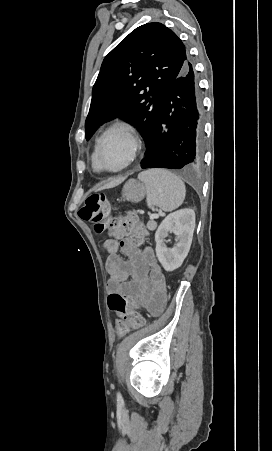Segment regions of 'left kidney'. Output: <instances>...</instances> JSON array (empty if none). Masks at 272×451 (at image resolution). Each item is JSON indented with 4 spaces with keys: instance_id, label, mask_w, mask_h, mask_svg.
Returning <instances> with one entry per match:
<instances>
[{
    "instance_id": "obj_1",
    "label": "left kidney",
    "mask_w": 272,
    "mask_h": 451,
    "mask_svg": "<svg viewBox=\"0 0 272 451\" xmlns=\"http://www.w3.org/2000/svg\"><path fill=\"white\" fill-rule=\"evenodd\" d=\"M194 227L195 212L185 208L166 216L156 229V255L166 271H173L182 265L192 243ZM169 231L177 235L176 247H167L165 243V237H168Z\"/></svg>"
}]
</instances>
